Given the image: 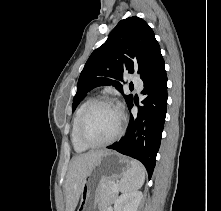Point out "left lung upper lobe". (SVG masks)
<instances>
[{"instance_id": "5c2ea615", "label": "left lung upper lobe", "mask_w": 221, "mask_h": 211, "mask_svg": "<svg viewBox=\"0 0 221 211\" xmlns=\"http://www.w3.org/2000/svg\"><path fill=\"white\" fill-rule=\"evenodd\" d=\"M158 51L160 47L154 32L144 20L136 16L121 20L107 41L87 60L78 80L72 109L97 86L113 85L122 93L123 73L137 72L141 77ZM124 98L127 105L133 100L132 95Z\"/></svg>"}]
</instances>
